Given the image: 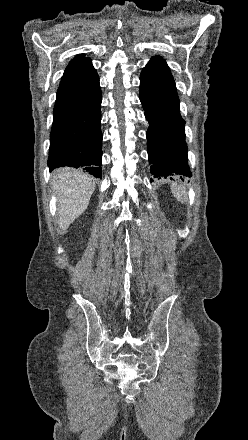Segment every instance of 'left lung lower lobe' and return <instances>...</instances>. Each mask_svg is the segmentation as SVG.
<instances>
[{
  "label": "left lung lower lobe",
  "instance_id": "obj_1",
  "mask_svg": "<svg viewBox=\"0 0 248 440\" xmlns=\"http://www.w3.org/2000/svg\"><path fill=\"white\" fill-rule=\"evenodd\" d=\"M139 97L149 122L147 146L151 174L156 178L176 174L191 177L184 141L185 121L180 115L176 89L141 76Z\"/></svg>",
  "mask_w": 248,
  "mask_h": 440
}]
</instances>
